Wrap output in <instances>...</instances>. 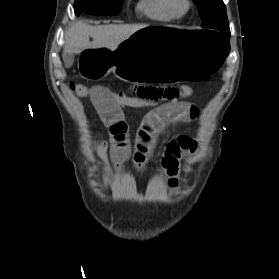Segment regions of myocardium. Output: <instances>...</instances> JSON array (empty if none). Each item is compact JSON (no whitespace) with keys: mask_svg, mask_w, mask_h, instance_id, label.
<instances>
[{"mask_svg":"<svg viewBox=\"0 0 279 279\" xmlns=\"http://www.w3.org/2000/svg\"><path fill=\"white\" fill-rule=\"evenodd\" d=\"M169 8L175 17H184L193 8L192 0H169Z\"/></svg>","mask_w":279,"mask_h":279,"instance_id":"myocardium-1","label":"myocardium"}]
</instances>
